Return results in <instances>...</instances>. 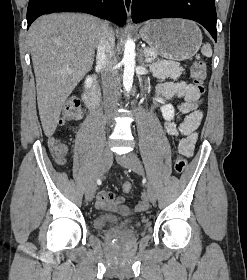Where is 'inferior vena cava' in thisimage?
Segmentation results:
<instances>
[{"label":"inferior vena cava","mask_w":247,"mask_h":280,"mask_svg":"<svg viewBox=\"0 0 247 280\" xmlns=\"http://www.w3.org/2000/svg\"><path fill=\"white\" fill-rule=\"evenodd\" d=\"M115 36L112 28L103 23L100 28V39L97 46V65L101 68L105 104L114 108L119 97V77L114 68Z\"/></svg>","instance_id":"602c4592"}]
</instances>
